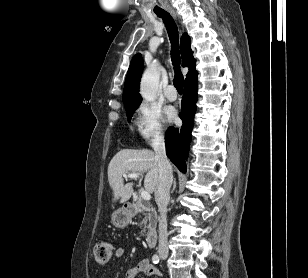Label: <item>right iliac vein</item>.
Wrapping results in <instances>:
<instances>
[{
    "label": "right iliac vein",
    "mask_w": 308,
    "mask_h": 278,
    "mask_svg": "<svg viewBox=\"0 0 308 278\" xmlns=\"http://www.w3.org/2000/svg\"><path fill=\"white\" fill-rule=\"evenodd\" d=\"M159 255H160V257H161L163 260L167 259V257H168L167 251H160V252H159Z\"/></svg>",
    "instance_id": "obj_1"
}]
</instances>
